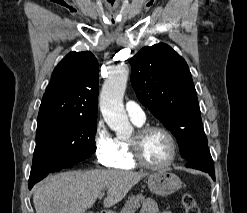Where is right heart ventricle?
I'll return each mask as SVG.
<instances>
[{
	"mask_svg": "<svg viewBox=\"0 0 247 213\" xmlns=\"http://www.w3.org/2000/svg\"><path fill=\"white\" fill-rule=\"evenodd\" d=\"M134 124L139 127L142 125L135 122ZM116 145H117L118 155L113 167L122 170H132L136 168V164L133 162L130 156L128 141L118 138L116 139Z\"/></svg>",
	"mask_w": 247,
	"mask_h": 213,
	"instance_id": "e07e8e85",
	"label": "right heart ventricle"
}]
</instances>
